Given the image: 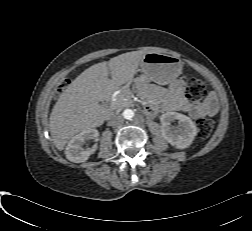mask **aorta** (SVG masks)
Instances as JSON below:
<instances>
[{
	"label": "aorta",
	"instance_id": "1",
	"mask_svg": "<svg viewBox=\"0 0 252 231\" xmlns=\"http://www.w3.org/2000/svg\"><path fill=\"white\" fill-rule=\"evenodd\" d=\"M123 116L125 119H131L134 116V111L132 109H126L123 112Z\"/></svg>",
	"mask_w": 252,
	"mask_h": 231
}]
</instances>
